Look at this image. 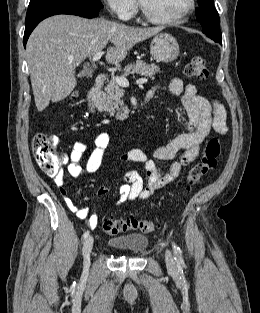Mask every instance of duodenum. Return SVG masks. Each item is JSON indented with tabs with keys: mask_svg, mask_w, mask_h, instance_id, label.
Here are the masks:
<instances>
[{
	"mask_svg": "<svg viewBox=\"0 0 260 313\" xmlns=\"http://www.w3.org/2000/svg\"><path fill=\"white\" fill-rule=\"evenodd\" d=\"M105 84H106V77L103 74H100L95 78L92 87L87 92L86 106H87V109L93 114L98 113L97 103L99 100L100 92Z\"/></svg>",
	"mask_w": 260,
	"mask_h": 313,
	"instance_id": "410a0bca",
	"label": "duodenum"
}]
</instances>
